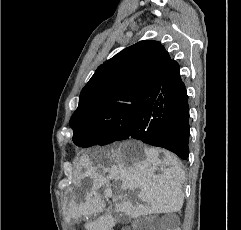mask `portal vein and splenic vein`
<instances>
[{
	"mask_svg": "<svg viewBox=\"0 0 241 230\" xmlns=\"http://www.w3.org/2000/svg\"><path fill=\"white\" fill-rule=\"evenodd\" d=\"M106 195H107L108 197H111V196H112V194H111V193H107Z\"/></svg>",
	"mask_w": 241,
	"mask_h": 230,
	"instance_id": "portal-vein-and-splenic-vein-1",
	"label": "portal vein and splenic vein"
}]
</instances>
